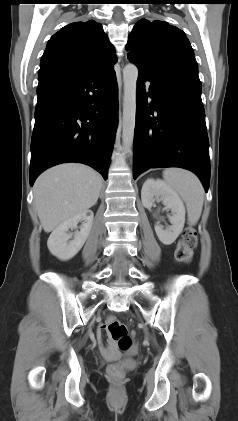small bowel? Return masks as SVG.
Masks as SVG:
<instances>
[{
  "label": "small bowel",
  "mask_w": 238,
  "mask_h": 421,
  "mask_svg": "<svg viewBox=\"0 0 238 421\" xmlns=\"http://www.w3.org/2000/svg\"><path fill=\"white\" fill-rule=\"evenodd\" d=\"M104 328V326H101V327H99V329H98V338L99 339H101V335H102V329ZM103 351L105 352V353H110L111 351H112V348L111 347H106V348H103Z\"/></svg>",
  "instance_id": "obj_1"
}]
</instances>
